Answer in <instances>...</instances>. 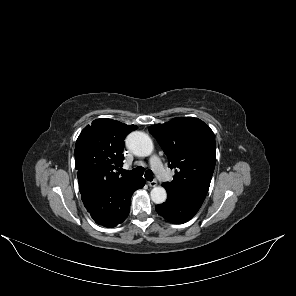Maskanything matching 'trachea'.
I'll use <instances>...</instances> for the list:
<instances>
[{
  "label": "trachea",
  "mask_w": 296,
  "mask_h": 296,
  "mask_svg": "<svg viewBox=\"0 0 296 296\" xmlns=\"http://www.w3.org/2000/svg\"><path fill=\"white\" fill-rule=\"evenodd\" d=\"M121 173L129 174V175H133V176H142L144 174V169L142 167H136L135 169H133L131 171L121 170ZM145 178L148 181H152L153 180V172L151 170H146L145 171Z\"/></svg>",
  "instance_id": "3493384b"
}]
</instances>
